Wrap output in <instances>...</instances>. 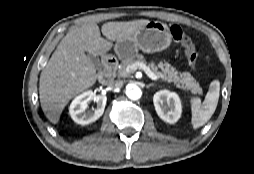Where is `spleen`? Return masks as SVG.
I'll return each mask as SVG.
<instances>
[{"mask_svg": "<svg viewBox=\"0 0 254 174\" xmlns=\"http://www.w3.org/2000/svg\"><path fill=\"white\" fill-rule=\"evenodd\" d=\"M220 92V82L214 80L211 82L203 103L200 98H191V123L194 129H197L208 122L216 110Z\"/></svg>", "mask_w": 254, "mask_h": 174, "instance_id": "1", "label": "spleen"}]
</instances>
